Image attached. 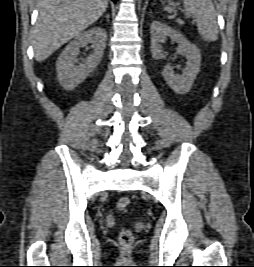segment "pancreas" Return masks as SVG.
Masks as SVG:
<instances>
[{
    "mask_svg": "<svg viewBox=\"0 0 254 267\" xmlns=\"http://www.w3.org/2000/svg\"><path fill=\"white\" fill-rule=\"evenodd\" d=\"M177 23L180 24V25H182V24H184V21L178 19V20H177Z\"/></svg>",
    "mask_w": 254,
    "mask_h": 267,
    "instance_id": "pancreas-1",
    "label": "pancreas"
}]
</instances>
